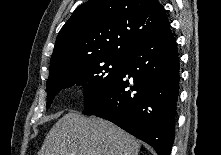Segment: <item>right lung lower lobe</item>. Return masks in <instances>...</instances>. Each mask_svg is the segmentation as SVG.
Here are the masks:
<instances>
[{
	"mask_svg": "<svg viewBox=\"0 0 221 155\" xmlns=\"http://www.w3.org/2000/svg\"><path fill=\"white\" fill-rule=\"evenodd\" d=\"M178 55L170 27L141 39L115 80L82 113L107 119L151 145L158 155H170L179 94Z\"/></svg>",
	"mask_w": 221,
	"mask_h": 155,
	"instance_id": "obj_1",
	"label": "right lung lower lobe"
}]
</instances>
